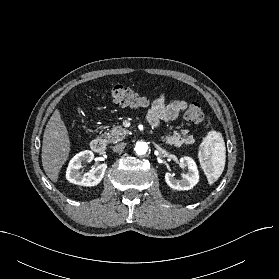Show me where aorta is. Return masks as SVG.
<instances>
[{"label":"aorta","instance_id":"1","mask_svg":"<svg viewBox=\"0 0 279 279\" xmlns=\"http://www.w3.org/2000/svg\"><path fill=\"white\" fill-rule=\"evenodd\" d=\"M147 150H148V145H147L146 142L139 141V142L136 143L135 151L138 155L146 154Z\"/></svg>","mask_w":279,"mask_h":279}]
</instances>
